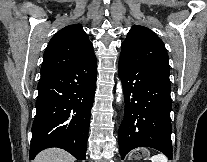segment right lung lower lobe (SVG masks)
<instances>
[{"label": "right lung lower lobe", "instance_id": "1", "mask_svg": "<svg viewBox=\"0 0 207 162\" xmlns=\"http://www.w3.org/2000/svg\"><path fill=\"white\" fill-rule=\"evenodd\" d=\"M96 78V57L41 76L30 160L49 147L62 148L76 159L85 160Z\"/></svg>", "mask_w": 207, "mask_h": 162}]
</instances>
